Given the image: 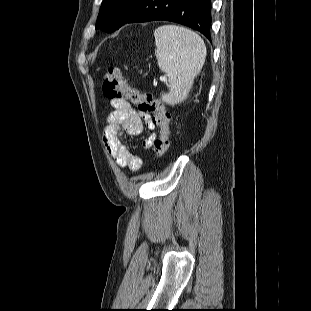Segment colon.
<instances>
[{
  "label": "colon",
  "mask_w": 311,
  "mask_h": 311,
  "mask_svg": "<svg viewBox=\"0 0 311 311\" xmlns=\"http://www.w3.org/2000/svg\"><path fill=\"white\" fill-rule=\"evenodd\" d=\"M103 93L111 100L127 101L135 104L141 113L153 115V121L159 127V135L153 140L151 145L155 157L164 156L169 148V124L170 113L165 107L150 93H142L130 87L117 65H110L104 76Z\"/></svg>",
  "instance_id": "1"
}]
</instances>
